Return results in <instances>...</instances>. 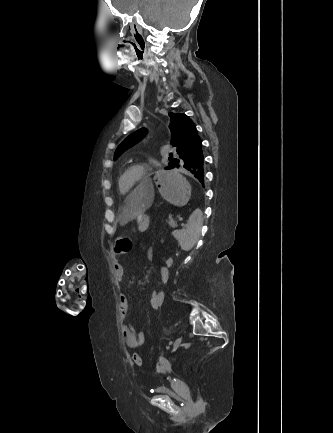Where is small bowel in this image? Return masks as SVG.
<instances>
[{"instance_id":"c3829d8e","label":"small bowel","mask_w":333,"mask_h":433,"mask_svg":"<svg viewBox=\"0 0 333 433\" xmlns=\"http://www.w3.org/2000/svg\"><path fill=\"white\" fill-rule=\"evenodd\" d=\"M122 253H117L114 248V262L113 268L118 281H121L124 276V266L119 260V255ZM147 258L150 261L155 259V251L153 248H149L147 250ZM169 267H166L165 264L160 267V279L163 284L168 282L169 279ZM159 293V299L161 304L164 303L165 293L164 291H157ZM152 297V296H151ZM162 306V305H161ZM153 309V308H152ZM159 309V308H158ZM129 312V303L128 299L125 295H121L119 297V315L122 320H124ZM121 332L124 339V342L129 348H137L141 344H143L147 339V333L144 330L135 331L130 325L123 322L121 326Z\"/></svg>"}]
</instances>
